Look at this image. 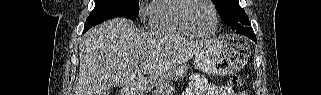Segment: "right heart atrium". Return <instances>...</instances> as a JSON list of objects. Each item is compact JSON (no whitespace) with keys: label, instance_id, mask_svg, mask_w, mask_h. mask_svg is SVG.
I'll use <instances>...</instances> for the list:
<instances>
[{"label":"right heart atrium","instance_id":"right-heart-atrium-1","mask_svg":"<svg viewBox=\"0 0 321 95\" xmlns=\"http://www.w3.org/2000/svg\"><path fill=\"white\" fill-rule=\"evenodd\" d=\"M141 11L143 12V11H144V9L142 8V9H141Z\"/></svg>","mask_w":321,"mask_h":95}]
</instances>
